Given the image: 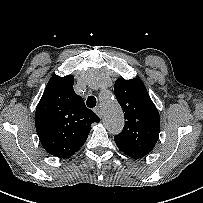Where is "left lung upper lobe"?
Listing matches in <instances>:
<instances>
[{"instance_id":"5c2ea615","label":"left lung upper lobe","mask_w":203,"mask_h":203,"mask_svg":"<svg viewBox=\"0 0 203 203\" xmlns=\"http://www.w3.org/2000/svg\"><path fill=\"white\" fill-rule=\"evenodd\" d=\"M114 92L126 119L122 132L114 140L121 151L143 157L153 150L158 140L159 112L138 78L117 79Z\"/></svg>"}]
</instances>
